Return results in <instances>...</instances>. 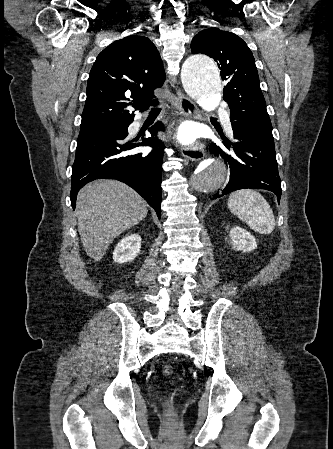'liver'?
Segmentation results:
<instances>
[{
    "label": "liver",
    "mask_w": 333,
    "mask_h": 449,
    "mask_svg": "<svg viewBox=\"0 0 333 449\" xmlns=\"http://www.w3.org/2000/svg\"><path fill=\"white\" fill-rule=\"evenodd\" d=\"M147 213L143 198L122 182L100 180L85 185L78 193L75 214L87 255L100 261L114 238L139 224Z\"/></svg>",
    "instance_id": "obj_1"
}]
</instances>
